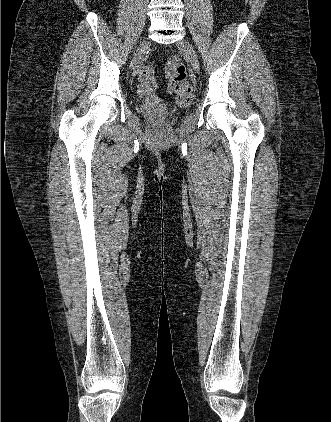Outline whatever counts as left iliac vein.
<instances>
[{
    "label": "left iliac vein",
    "mask_w": 331,
    "mask_h": 422,
    "mask_svg": "<svg viewBox=\"0 0 331 422\" xmlns=\"http://www.w3.org/2000/svg\"><path fill=\"white\" fill-rule=\"evenodd\" d=\"M178 48L183 50V52L186 54V56L189 58L191 65L196 73H199L200 71V63L197 57V54L194 50V47L190 42L187 40H181L177 44Z\"/></svg>",
    "instance_id": "1"
}]
</instances>
